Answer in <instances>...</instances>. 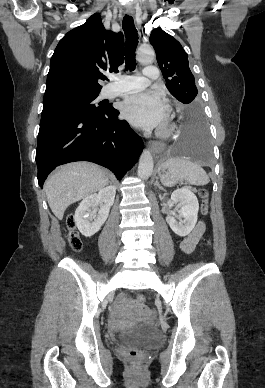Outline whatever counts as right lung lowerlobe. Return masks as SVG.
Wrapping results in <instances>:
<instances>
[{
  "label": "right lung lower lobe",
  "instance_id": "obj_1",
  "mask_svg": "<svg viewBox=\"0 0 265 388\" xmlns=\"http://www.w3.org/2000/svg\"><path fill=\"white\" fill-rule=\"evenodd\" d=\"M112 106L102 112H62L41 118L36 149L38 183L57 166L87 160L120 180L139 158L142 139Z\"/></svg>",
  "mask_w": 265,
  "mask_h": 388
}]
</instances>
